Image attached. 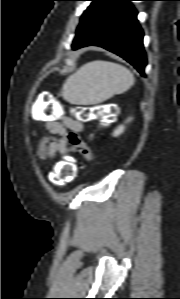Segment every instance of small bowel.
<instances>
[{"instance_id":"c3829d8e","label":"small bowel","mask_w":180,"mask_h":299,"mask_svg":"<svg viewBox=\"0 0 180 299\" xmlns=\"http://www.w3.org/2000/svg\"><path fill=\"white\" fill-rule=\"evenodd\" d=\"M45 123L50 136L38 145L37 155L40 160L50 161L57 154L69 158L75 153H80L86 160L92 159L91 150L78 137L83 130L82 122L63 115Z\"/></svg>"}]
</instances>
